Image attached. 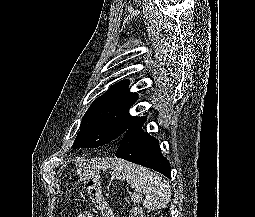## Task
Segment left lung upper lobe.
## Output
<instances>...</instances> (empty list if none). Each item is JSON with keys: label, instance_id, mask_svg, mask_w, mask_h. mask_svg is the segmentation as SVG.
I'll use <instances>...</instances> for the list:
<instances>
[{"label": "left lung upper lobe", "instance_id": "obj_1", "mask_svg": "<svg viewBox=\"0 0 255 217\" xmlns=\"http://www.w3.org/2000/svg\"><path fill=\"white\" fill-rule=\"evenodd\" d=\"M129 81L112 85L88 108L72 148H95L113 140H121L127 129L140 117L129 114L137 95L127 88Z\"/></svg>", "mask_w": 255, "mask_h": 217}]
</instances>
